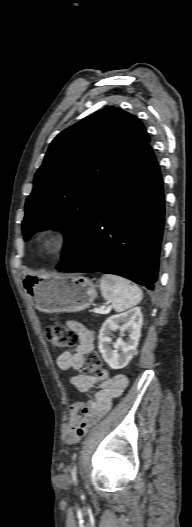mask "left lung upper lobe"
<instances>
[{"label":"left lung upper lobe","instance_id":"obj_1","mask_svg":"<svg viewBox=\"0 0 192 527\" xmlns=\"http://www.w3.org/2000/svg\"><path fill=\"white\" fill-rule=\"evenodd\" d=\"M149 142L138 118L113 106L58 134L26 200L24 239L48 228L61 229L64 257L110 186Z\"/></svg>","mask_w":192,"mask_h":527}]
</instances>
